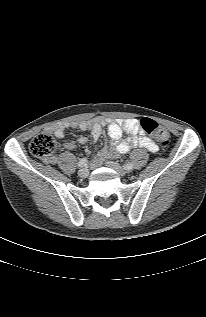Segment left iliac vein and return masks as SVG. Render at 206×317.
<instances>
[{
  "instance_id": "obj_1",
  "label": "left iliac vein",
  "mask_w": 206,
  "mask_h": 317,
  "mask_svg": "<svg viewBox=\"0 0 206 317\" xmlns=\"http://www.w3.org/2000/svg\"><path fill=\"white\" fill-rule=\"evenodd\" d=\"M106 165L115 170L120 176L126 175L127 171L114 161H107Z\"/></svg>"
}]
</instances>
